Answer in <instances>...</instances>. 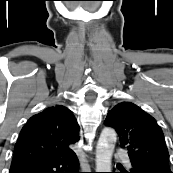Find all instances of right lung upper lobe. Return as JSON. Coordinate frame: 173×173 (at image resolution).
Instances as JSON below:
<instances>
[{
	"mask_svg": "<svg viewBox=\"0 0 173 173\" xmlns=\"http://www.w3.org/2000/svg\"><path fill=\"white\" fill-rule=\"evenodd\" d=\"M80 127L72 112L56 105L32 116L22 128L11 166L67 155L79 140Z\"/></svg>",
	"mask_w": 173,
	"mask_h": 173,
	"instance_id": "cb5924a9",
	"label": "right lung upper lobe"
}]
</instances>
